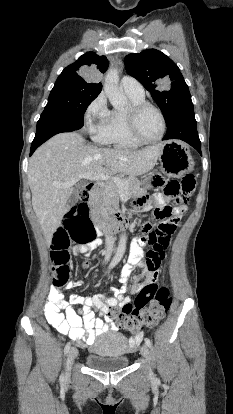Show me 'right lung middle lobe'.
<instances>
[{"label": "right lung middle lobe", "mask_w": 233, "mask_h": 414, "mask_svg": "<svg viewBox=\"0 0 233 414\" xmlns=\"http://www.w3.org/2000/svg\"><path fill=\"white\" fill-rule=\"evenodd\" d=\"M99 93L100 91L56 81L45 110L58 112L67 117L83 121L88 105Z\"/></svg>", "instance_id": "right-lung-middle-lobe-1"}]
</instances>
